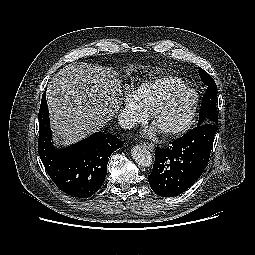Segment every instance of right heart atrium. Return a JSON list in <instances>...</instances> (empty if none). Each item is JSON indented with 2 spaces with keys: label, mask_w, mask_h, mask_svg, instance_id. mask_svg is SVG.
Here are the masks:
<instances>
[{
  "label": "right heart atrium",
  "mask_w": 255,
  "mask_h": 255,
  "mask_svg": "<svg viewBox=\"0 0 255 255\" xmlns=\"http://www.w3.org/2000/svg\"><path fill=\"white\" fill-rule=\"evenodd\" d=\"M122 115L124 123L128 127H132L146 119L145 111L131 91H126L123 95Z\"/></svg>",
  "instance_id": "d8ad5b80"
}]
</instances>
